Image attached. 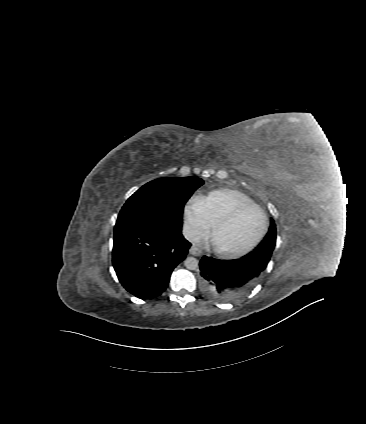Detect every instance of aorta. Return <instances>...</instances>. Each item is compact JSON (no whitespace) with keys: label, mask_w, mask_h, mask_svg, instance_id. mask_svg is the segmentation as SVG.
I'll use <instances>...</instances> for the list:
<instances>
[{"label":"aorta","mask_w":366,"mask_h":424,"mask_svg":"<svg viewBox=\"0 0 366 424\" xmlns=\"http://www.w3.org/2000/svg\"><path fill=\"white\" fill-rule=\"evenodd\" d=\"M184 265L189 270H196L199 267V261L195 257H187Z\"/></svg>","instance_id":"762f6f07"}]
</instances>
